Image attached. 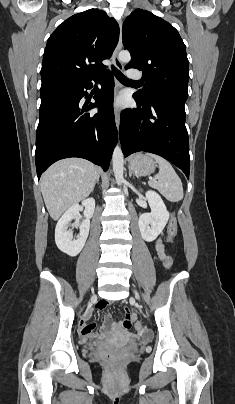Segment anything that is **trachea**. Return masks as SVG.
Instances as JSON below:
<instances>
[{
  "mask_svg": "<svg viewBox=\"0 0 235 404\" xmlns=\"http://www.w3.org/2000/svg\"><path fill=\"white\" fill-rule=\"evenodd\" d=\"M113 73L115 77L122 83H137V81L128 79L120 70L112 66Z\"/></svg>",
  "mask_w": 235,
  "mask_h": 404,
  "instance_id": "obj_1",
  "label": "trachea"
}]
</instances>
